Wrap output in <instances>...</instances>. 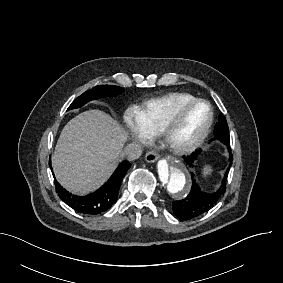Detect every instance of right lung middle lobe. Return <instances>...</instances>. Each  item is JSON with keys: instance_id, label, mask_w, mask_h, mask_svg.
<instances>
[{"instance_id": "1", "label": "right lung middle lobe", "mask_w": 283, "mask_h": 283, "mask_svg": "<svg viewBox=\"0 0 283 283\" xmlns=\"http://www.w3.org/2000/svg\"><path fill=\"white\" fill-rule=\"evenodd\" d=\"M124 91L123 88L114 85H100L94 87L92 90H88L80 95L68 108L77 109L83 106L85 103L98 99L100 97L116 96Z\"/></svg>"}]
</instances>
